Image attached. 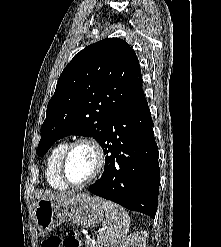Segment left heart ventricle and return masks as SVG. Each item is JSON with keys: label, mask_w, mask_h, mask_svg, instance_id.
Listing matches in <instances>:
<instances>
[{"label": "left heart ventricle", "mask_w": 221, "mask_h": 247, "mask_svg": "<svg viewBox=\"0 0 221 247\" xmlns=\"http://www.w3.org/2000/svg\"><path fill=\"white\" fill-rule=\"evenodd\" d=\"M96 166L94 151L85 145L76 147L67 162V175L72 182L79 183L86 180Z\"/></svg>", "instance_id": "1"}]
</instances>
